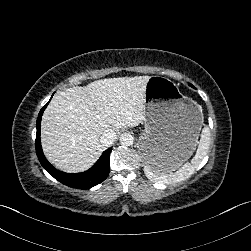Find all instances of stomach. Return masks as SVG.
<instances>
[{"label": "stomach", "mask_w": 251, "mask_h": 251, "mask_svg": "<svg viewBox=\"0 0 251 251\" xmlns=\"http://www.w3.org/2000/svg\"><path fill=\"white\" fill-rule=\"evenodd\" d=\"M203 119L200 106L182 93L181 84L150 76L144 89L145 132L138 142L142 160L163 172L178 168L195 149Z\"/></svg>", "instance_id": "obj_1"}]
</instances>
